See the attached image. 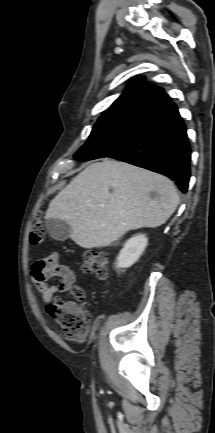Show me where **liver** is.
<instances>
[{
    "label": "liver",
    "instance_id": "liver-1",
    "mask_svg": "<svg viewBox=\"0 0 215 433\" xmlns=\"http://www.w3.org/2000/svg\"><path fill=\"white\" fill-rule=\"evenodd\" d=\"M178 203L167 177L105 159L73 178L50 202L45 219L65 221L72 229L70 238L92 249L108 246L130 230L161 226Z\"/></svg>",
    "mask_w": 215,
    "mask_h": 433
}]
</instances>
